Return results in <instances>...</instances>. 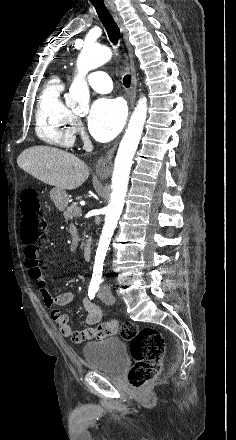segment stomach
Returning a JSON list of instances; mask_svg holds the SVG:
<instances>
[{"instance_id":"obj_1","label":"stomach","mask_w":236,"mask_h":440,"mask_svg":"<svg viewBox=\"0 0 236 440\" xmlns=\"http://www.w3.org/2000/svg\"><path fill=\"white\" fill-rule=\"evenodd\" d=\"M101 178H103V176H101ZM50 198L59 211H64L67 208L69 197L65 190L57 188L52 189L50 192Z\"/></svg>"}]
</instances>
